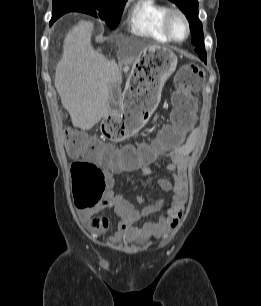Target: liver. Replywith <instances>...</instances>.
<instances>
[{"mask_svg": "<svg viewBox=\"0 0 261 306\" xmlns=\"http://www.w3.org/2000/svg\"><path fill=\"white\" fill-rule=\"evenodd\" d=\"M92 31V22L80 21L66 34L54 80L73 125L83 130L110 113V86L122 82L119 65L92 47Z\"/></svg>", "mask_w": 261, "mask_h": 306, "instance_id": "obj_1", "label": "liver"}]
</instances>
